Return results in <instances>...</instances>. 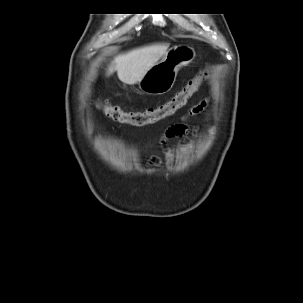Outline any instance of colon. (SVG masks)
Wrapping results in <instances>:
<instances>
[{
	"label": "colon",
	"instance_id": "colon-1",
	"mask_svg": "<svg viewBox=\"0 0 303 303\" xmlns=\"http://www.w3.org/2000/svg\"><path fill=\"white\" fill-rule=\"evenodd\" d=\"M207 72L201 71L191 78L183 88H181L167 102L146 108L141 111H124L117 105H112L106 100L96 101V106L108 118L120 124H127L134 127H143L157 123L177 112L195 94L202 82L205 80Z\"/></svg>",
	"mask_w": 303,
	"mask_h": 303
}]
</instances>
